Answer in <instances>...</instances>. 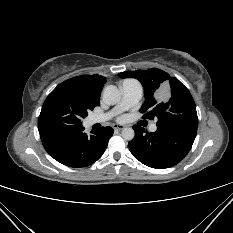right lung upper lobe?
I'll return each mask as SVG.
<instances>
[{
	"label": "right lung upper lobe",
	"mask_w": 233,
	"mask_h": 233,
	"mask_svg": "<svg viewBox=\"0 0 233 233\" xmlns=\"http://www.w3.org/2000/svg\"><path fill=\"white\" fill-rule=\"evenodd\" d=\"M65 82L90 97L99 98L106 79L99 75H82Z\"/></svg>",
	"instance_id": "obj_1"
}]
</instances>
